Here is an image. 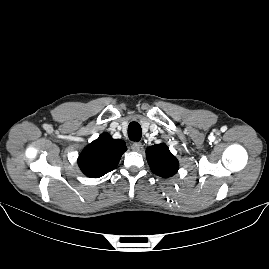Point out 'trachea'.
I'll use <instances>...</instances> for the list:
<instances>
[{"instance_id":"1","label":"trachea","mask_w":269,"mask_h":269,"mask_svg":"<svg viewBox=\"0 0 269 269\" xmlns=\"http://www.w3.org/2000/svg\"><path fill=\"white\" fill-rule=\"evenodd\" d=\"M128 136L131 141H139L142 136L141 126L137 122H131L128 126Z\"/></svg>"}]
</instances>
